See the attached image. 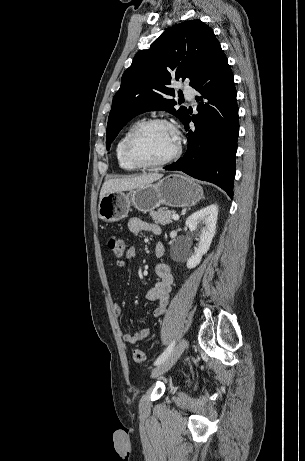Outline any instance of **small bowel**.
Returning a JSON list of instances; mask_svg holds the SVG:
<instances>
[{"mask_svg": "<svg viewBox=\"0 0 305 461\" xmlns=\"http://www.w3.org/2000/svg\"><path fill=\"white\" fill-rule=\"evenodd\" d=\"M129 230L132 233H150L154 236H160L162 233L161 227L155 223L148 222L139 218H133L129 221ZM154 254L157 258H161L165 254V247L162 243L155 244ZM137 255L135 247L131 246L126 249L125 258L133 259ZM116 267L119 272L123 273L126 268V262L124 259H118L116 261ZM156 282L154 286L148 291L147 299L156 304L154 309V317L161 316L165 311L169 303V299L172 293L174 284V278L171 273L170 267L166 263H158L155 267ZM113 311L116 315L122 313V307L118 303H114ZM151 334L150 328H142L137 332H125L123 339L126 343L134 345L141 340L147 338Z\"/></svg>", "mask_w": 305, "mask_h": 461, "instance_id": "small-bowel-1", "label": "small bowel"}]
</instances>
